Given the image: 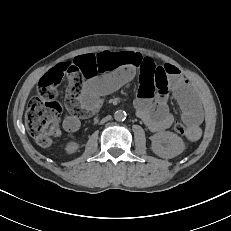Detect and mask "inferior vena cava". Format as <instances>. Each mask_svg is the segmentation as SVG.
I'll return each mask as SVG.
<instances>
[{
  "label": "inferior vena cava",
  "instance_id": "obj_1",
  "mask_svg": "<svg viewBox=\"0 0 231 231\" xmlns=\"http://www.w3.org/2000/svg\"><path fill=\"white\" fill-rule=\"evenodd\" d=\"M110 118H111L110 116L105 117L102 121L105 122V121L109 120Z\"/></svg>",
  "mask_w": 231,
  "mask_h": 231
}]
</instances>
